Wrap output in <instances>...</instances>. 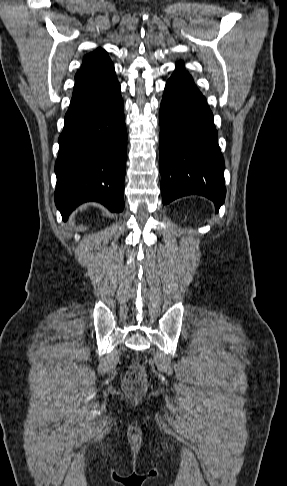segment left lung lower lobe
I'll return each instance as SVG.
<instances>
[{"instance_id":"0a47b994","label":"left lung lower lobe","mask_w":287,"mask_h":486,"mask_svg":"<svg viewBox=\"0 0 287 486\" xmlns=\"http://www.w3.org/2000/svg\"><path fill=\"white\" fill-rule=\"evenodd\" d=\"M160 172L163 204L191 194L224 203V160L213 114L183 63L167 81L160 106Z\"/></svg>"}]
</instances>
